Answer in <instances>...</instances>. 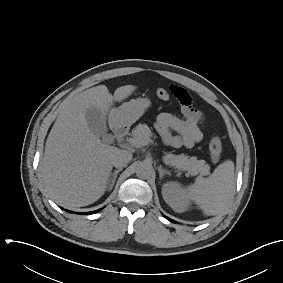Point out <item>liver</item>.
<instances>
[{
  "label": "liver",
  "instance_id": "1",
  "mask_svg": "<svg viewBox=\"0 0 283 283\" xmlns=\"http://www.w3.org/2000/svg\"><path fill=\"white\" fill-rule=\"evenodd\" d=\"M136 89L125 85L112 96L105 85H98L64 103L47 137L41 162L42 179L53 200L69 207H83L105 193L112 159L119 149L101 142L89 129L85 113L97 107L108 115L111 125L116 121L113 102L126 99Z\"/></svg>",
  "mask_w": 283,
  "mask_h": 283
}]
</instances>
